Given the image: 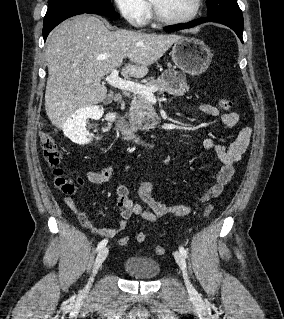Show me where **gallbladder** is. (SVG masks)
I'll return each mask as SVG.
<instances>
[{
	"mask_svg": "<svg viewBox=\"0 0 284 319\" xmlns=\"http://www.w3.org/2000/svg\"><path fill=\"white\" fill-rule=\"evenodd\" d=\"M109 101H110V97L107 96V97L105 98L104 102H109Z\"/></svg>",
	"mask_w": 284,
	"mask_h": 319,
	"instance_id": "gallbladder-1",
	"label": "gallbladder"
}]
</instances>
